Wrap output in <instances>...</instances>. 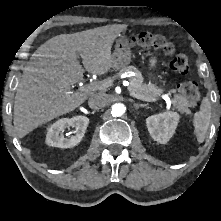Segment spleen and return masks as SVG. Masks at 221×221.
I'll return each mask as SVG.
<instances>
[{
    "label": "spleen",
    "mask_w": 221,
    "mask_h": 221,
    "mask_svg": "<svg viewBox=\"0 0 221 221\" xmlns=\"http://www.w3.org/2000/svg\"><path fill=\"white\" fill-rule=\"evenodd\" d=\"M211 119V105L207 98H203L200 111L194 114L193 125L197 141L202 143L206 137Z\"/></svg>",
    "instance_id": "1"
}]
</instances>
